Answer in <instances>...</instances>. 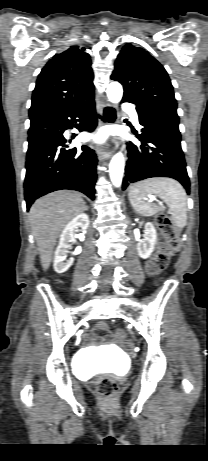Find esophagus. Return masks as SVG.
Listing matches in <instances>:
<instances>
[{
	"label": "esophagus",
	"instance_id": "34e87169",
	"mask_svg": "<svg viewBox=\"0 0 208 461\" xmlns=\"http://www.w3.org/2000/svg\"><path fill=\"white\" fill-rule=\"evenodd\" d=\"M117 111L116 108L110 103H104L98 113V120L100 125L112 124L116 121ZM117 147V143H114L110 148L107 147H97L96 152L98 154L99 160L102 162L105 159H108L114 152V149Z\"/></svg>",
	"mask_w": 208,
	"mask_h": 461
}]
</instances>
